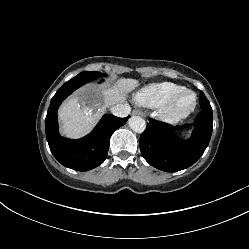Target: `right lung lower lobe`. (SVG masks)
<instances>
[{
	"mask_svg": "<svg viewBox=\"0 0 249 249\" xmlns=\"http://www.w3.org/2000/svg\"><path fill=\"white\" fill-rule=\"evenodd\" d=\"M85 83V80L78 79L67 81L52 98L45 119L46 137L52 154L62 165L77 171L91 170L105 161L111 135L129 118L105 114L87 136L78 140L63 138L58 132L57 110L67 96Z\"/></svg>",
	"mask_w": 249,
	"mask_h": 249,
	"instance_id": "obj_1",
	"label": "right lung lower lobe"
}]
</instances>
